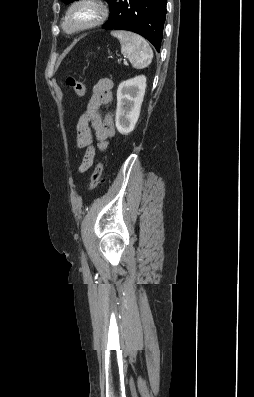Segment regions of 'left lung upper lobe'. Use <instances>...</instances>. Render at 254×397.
I'll return each instance as SVG.
<instances>
[{"instance_id": "5c2ea615", "label": "left lung upper lobe", "mask_w": 254, "mask_h": 397, "mask_svg": "<svg viewBox=\"0 0 254 397\" xmlns=\"http://www.w3.org/2000/svg\"><path fill=\"white\" fill-rule=\"evenodd\" d=\"M72 1H74V0H62V2H64V3H70ZM106 1L108 2V4H110L113 0H106Z\"/></svg>"}]
</instances>
